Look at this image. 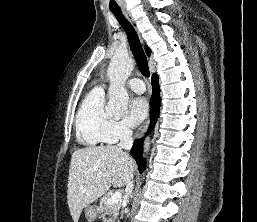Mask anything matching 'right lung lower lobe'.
<instances>
[{
	"instance_id": "1",
	"label": "right lung lower lobe",
	"mask_w": 257,
	"mask_h": 222,
	"mask_svg": "<svg viewBox=\"0 0 257 222\" xmlns=\"http://www.w3.org/2000/svg\"><path fill=\"white\" fill-rule=\"evenodd\" d=\"M158 75L153 74L151 79L152 84V96L150 99V126L148 128V133L154 128L158 115H159V107L161 105V98H160V88L158 85ZM143 139L135 140V143L131 149V155L136 160L137 165L139 167V171L142 172L145 169V159L142 157V149H143Z\"/></svg>"
}]
</instances>
